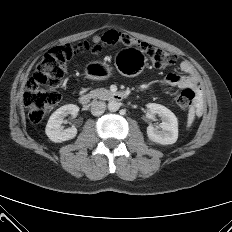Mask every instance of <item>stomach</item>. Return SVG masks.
Wrapping results in <instances>:
<instances>
[{
    "label": "stomach",
    "instance_id": "1",
    "mask_svg": "<svg viewBox=\"0 0 232 232\" xmlns=\"http://www.w3.org/2000/svg\"><path fill=\"white\" fill-rule=\"evenodd\" d=\"M114 61L120 74L136 76L145 68L147 58L137 48H124L116 53ZM85 75L88 79L105 80L112 75V67L101 61L90 62L85 67Z\"/></svg>",
    "mask_w": 232,
    "mask_h": 232
}]
</instances>
